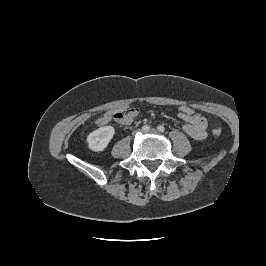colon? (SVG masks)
I'll return each instance as SVG.
<instances>
[{"mask_svg":"<svg viewBox=\"0 0 266 266\" xmlns=\"http://www.w3.org/2000/svg\"><path fill=\"white\" fill-rule=\"evenodd\" d=\"M178 111L180 114L184 116H188V117H191L197 114L195 109L188 105H181ZM133 117H134V113L132 109H126L123 111H119V112L114 113L113 115L114 120L121 124L128 123L130 120L133 119ZM221 132L222 130L220 128H215L212 130V133L216 136L220 135Z\"/></svg>","mask_w":266,"mask_h":266,"instance_id":"obj_1","label":"colon"}]
</instances>
